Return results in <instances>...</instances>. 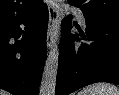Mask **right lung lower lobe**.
Returning <instances> with one entry per match:
<instances>
[{"instance_id": "obj_1", "label": "right lung lower lobe", "mask_w": 119, "mask_h": 95, "mask_svg": "<svg viewBox=\"0 0 119 95\" xmlns=\"http://www.w3.org/2000/svg\"><path fill=\"white\" fill-rule=\"evenodd\" d=\"M21 24L25 25V31L20 28ZM47 26L48 8L42 4L30 17L0 29L1 89L13 95L38 94L45 63Z\"/></svg>"}]
</instances>
